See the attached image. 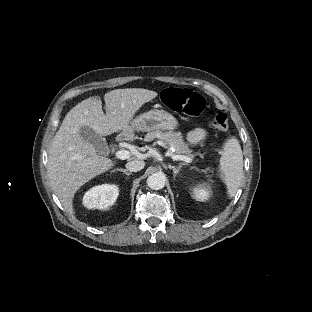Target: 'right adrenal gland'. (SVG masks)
Returning a JSON list of instances; mask_svg holds the SVG:
<instances>
[{"label":"right adrenal gland","mask_w":312,"mask_h":312,"mask_svg":"<svg viewBox=\"0 0 312 312\" xmlns=\"http://www.w3.org/2000/svg\"><path fill=\"white\" fill-rule=\"evenodd\" d=\"M117 172H122L124 175L126 176H129L131 175V173L127 172L126 170H122V169H119V170H116Z\"/></svg>","instance_id":"obj_1"}]
</instances>
